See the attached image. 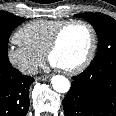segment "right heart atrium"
<instances>
[{
  "label": "right heart atrium",
  "instance_id": "right-heart-atrium-1",
  "mask_svg": "<svg viewBox=\"0 0 116 116\" xmlns=\"http://www.w3.org/2000/svg\"><path fill=\"white\" fill-rule=\"evenodd\" d=\"M9 64L24 75H33L44 60L42 54L36 53L18 41L16 36L6 50Z\"/></svg>",
  "mask_w": 116,
  "mask_h": 116
}]
</instances>
